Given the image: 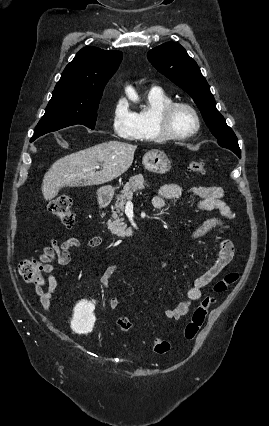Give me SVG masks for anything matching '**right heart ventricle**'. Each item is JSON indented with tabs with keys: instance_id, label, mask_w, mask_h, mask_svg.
<instances>
[{
	"instance_id": "1",
	"label": "right heart ventricle",
	"mask_w": 269,
	"mask_h": 426,
	"mask_svg": "<svg viewBox=\"0 0 269 426\" xmlns=\"http://www.w3.org/2000/svg\"><path fill=\"white\" fill-rule=\"evenodd\" d=\"M172 101V98L161 90L151 89L147 93V108L135 113L137 135L139 141H157L161 136L155 126L158 111Z\"/></svg>"
}]
</instances>
